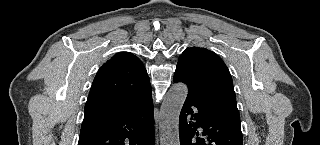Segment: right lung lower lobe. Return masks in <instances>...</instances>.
Masks as SVG:
<instances>
[{"mask_svg": "<svg viewBox=\"0 0 320 145\" xmlns=\"http://www.w3.org/2000/svg\"><path fill=\"white\" fill-rule=\"evenodd\" d=\"M78 145H154L151 93L123 114L82 123Z\"/></svg>", "mask_w": 320, "mask_h": 145, "instance_id": "1", "label": "right lung lower lobe"}]
</instances>
